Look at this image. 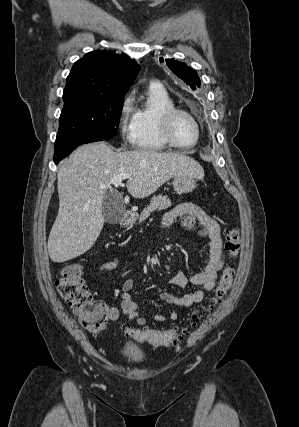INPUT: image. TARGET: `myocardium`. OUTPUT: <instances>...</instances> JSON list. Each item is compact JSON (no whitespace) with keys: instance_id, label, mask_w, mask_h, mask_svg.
<instances>
[{"instance_id":"myocardium-1","label":"myocardium","mask_w":299,"mask_h":427,"mask_svg":"<svg viewBox=\"0 0 299 427\" xmlns=\"http://www.w3.org/2000/svg\"><path fill=\"white\" fill-rule=\"evenodd\" d=\"M177 115H185V116L189 117L194 122L195 127H196V138L192 144L184 145V144H179L175 141V139L172 135L171 125H172L173 119ZM159 120H160L161 134H162L164 140L172 147L179 148V149H188V148H192L195 145H197L198 141L200 140V136H201L200 123L197 120V118L187 110L177 108V107L168 108L160 114Z\"/></svg>"}]
</instances>
